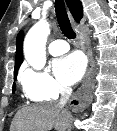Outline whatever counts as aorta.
I'll return each instance as SVG.
<instances>
[{"instance_id":"aorta-1","label":"aorta","mask_w":117,"mask_h":131,"mask_svg":"<svg viewBox=\"0 0 117 131\" xmlns=\"http://www.w3.org/2000/svg\"><path fill=\"white\" fill-rule=\"evenodd\" d=\"M49 34V23L41 19L28 31L25 37L24 56L29 65L36 70H41L46 64L45 47Z\"/></svg>"}]
</instances>
